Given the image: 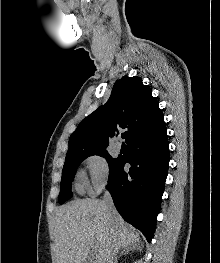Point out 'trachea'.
Masks as SVG:
<instances>
[{
  "label": "trachea",
  "instance_id": "obj_1",
  "mask_svg": "<svg viewBox=\"0 0 220 263\" xmlns=\"http://www.w3.org/2000/svg\"><path fill=\"white\" fill-rule=\"evenodd\" d=\"M121 137L124 139L125 135H124V134H122V135H121Z\"/></svg>",
  "mask_w": 220,
  "mask_h": 263
}]
</instances>
